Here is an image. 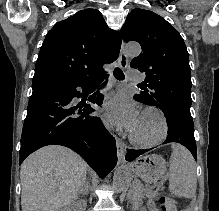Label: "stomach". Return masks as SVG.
<instances>
[{"instance_id": "0dacf381", "label": "stomach", "mask_w": 219, "mask_h": 211, "mask_svg": "<svg viewBox=\"0 0 219 211\" xmlns=\"http://www.w3.org/2000/svg\"><path fill=\"white\" fill-rule=\"evenodd\" d=\"M131 171L147 183H156L164 175L166 162L160 155L139 157L131 164Z\"/></svg>"}]
</instances>
